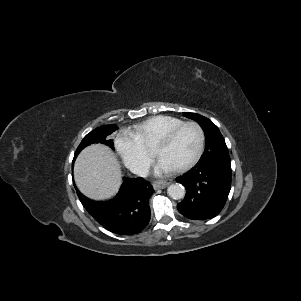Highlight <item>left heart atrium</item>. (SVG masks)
Returning a JSON list of instances; mask_svg holds the SVG:
<instances>
[{
  "label": "left heart atrium",
  "mask_w": 301,
  "mask_h": 301,
  "mask_svg": "<svg viewBox=\"0 0 301 301\" xmlns=\"http://www.w3.org/2000/svg\"><path fill=\"white\" fill-rule=\"evenodd\" d=\"M176 167L168 163L167 161L163 159H159L158 165L156 167V173L158 175L169 173L173 171Z\"/></svg>",
  "instance_id": "obj_1"
}]
</instances>
